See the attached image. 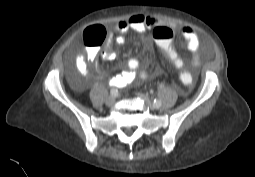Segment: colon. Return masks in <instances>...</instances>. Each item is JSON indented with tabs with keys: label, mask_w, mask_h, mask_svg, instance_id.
I'll list each match as a JSON object with an SVG mask.
<instances>
[{
	"label": "colon",
	"mask_w": 255,
	"mask_h": 177,
	"mask_svg": "<svg viewBox=\"0 0 255 177\" xmlns=\"http://www.w3.org/2000/svg\"><path fill=\"white\" fill-rule=\"evenodd\" d=\"M107 37L106 29L100 26L91 27L86 30L84 40L89 47L96 48L101 45ZM153 37L157 41L160 52L168 61V64L178 71L180 82L183 85H188L195 80V75L185 68V58L179 53L174 46L172 40L174 32L171 28L166 26H159L155 28Z\"/></svg>",
	"instance_id": "5ec220e1"
}]
</instances>
